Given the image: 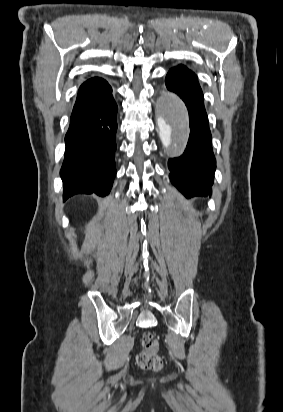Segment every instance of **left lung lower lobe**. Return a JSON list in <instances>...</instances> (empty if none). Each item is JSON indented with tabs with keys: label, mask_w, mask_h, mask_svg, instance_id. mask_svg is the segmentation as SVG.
Here are the masks:
<instances>
[{
	"label": "left lung lower lobe",
	"mask_w": 283,
	"mask_h": 412,
	"mask_svg": "<svg viewBox=\"0 0 283 412\" xmlns=\"http://www.w3.org/2000/svg\"><path fill=\"white\" fill-rule=\"evenodd\" d=\"M165 82L167 89L185 102L191 130L183 155L168 161L170 180L186 197L211 195L216 161L197 76L190 70L178 69L169 71Z\"/></svg>",
	"instance_id": "left-lung-lower-lobe-1"
}]
</instances>
